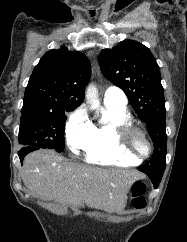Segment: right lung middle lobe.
Wrapping results in <instances>:
<instances>
[{
  "label": "right lung middle lobe",
  "mask_w": 187,
  "mask_h": 242,
  "mask_svg": "<svg viewBox=\"0 0 187 242\" xmlns=\"http://www.w3.org/2000/svg\"><path fill=\"white\" fill-rule=\"evenodd\" d=\"M66 112L70 111L22 110L19 143L63 151Z\"/></svg>",
  "instance_id": "1"
}]
</instances>
